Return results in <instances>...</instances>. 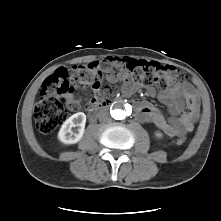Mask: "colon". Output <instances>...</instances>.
<instances>
[{
  "label": "colon",
  "instance_id": "obj_1",
  "mask_svg": "<svg viewBox=\"0 0 221 221\" xmlns=\"http://www.w3.org/2000/svg\"><path fill=\"white\" fill-rule=\"evenodd\" d=\"M123 68L137 83L156 85L162 89L182 82L187 75L169 65L144 60H122ZM102 73L100 63L78 65L71 68H58L43 82L39 100L34 109V117L38 130L43 134L53 132L67 117V109L71 108L72 96L76 89L93 87L100 83ZM106 95H113L115 89L107 87ZM184 137L174 140L182 145Z\"/></svg>",
  "mask_w": 221,
  "mask_h": 221
}]
</instances>
